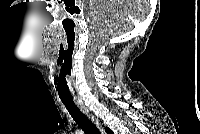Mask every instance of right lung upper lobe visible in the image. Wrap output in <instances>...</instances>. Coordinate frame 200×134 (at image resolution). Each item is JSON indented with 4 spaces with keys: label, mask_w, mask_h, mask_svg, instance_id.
I'll return each mask as SVG.
<instances>
[{
    "label": "right lung upper lobe",
    "mask_w": 200,
    "mask_h": 134,
    "mask_svg": "<svg viewBox=\"0 0 200 134\" xmlns=\"http://www.w3.org/2000/svg\"><path fill=\"white\" fill-rule=\"evenodd\" d=\"M106 131H107V133H110V132H111L110 129H108V128H106Z\"/></svg>",
    "instance_id": "cb5924a9"
}]
</instances>
